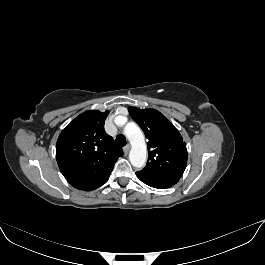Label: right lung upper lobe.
<instances>
[{
	"label": "right lung upper lobe",
	"instance_id": "cb5924a9",
	"mask_svg": "<svg viewBox=\"0 0 265 265\" xmlns=\"http://www.w3.org/2000/svg\"><path fill=\"white\" fill-rule=\"evenodd\" d=\"M108 112L86 111L61 132L56 144V159L66 180L79 190L90 191L110 176L122 149L106 134Z\"/></svg>",
	"mask_w": 265,
	"mask_h": 265
}]
</instances>
